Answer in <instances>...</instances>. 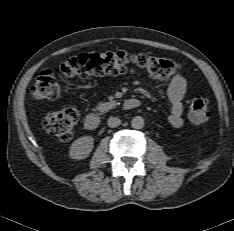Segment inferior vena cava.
Instances as JSON below:
<instances>
[{
    "label": "inferior vena cava",
    "instance_id": "inferior-vena-cava-1",
    "mask_svg": "<svg viewBox=\"0 0 234 231\" xmlns=\"http://www.w3.org/2000/svg\"><path fill=\"white\" fill-rule=\"evenodd\" d=\"M121 124V120L117 117H110L108 119V126L111 128L117 127Z\"/></svg>",
    "mask_w": 234,
    "mask_h": 231
}]
</instances>
